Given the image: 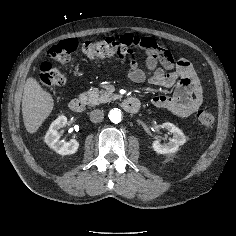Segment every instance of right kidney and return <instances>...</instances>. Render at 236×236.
Returning a JSON list of instances; mask_svg holds the SVG:
<instances>
[{
    "mask_svg": "<svg viewBox=\"0 0 236 236\" xmlns=\"http://www.w3.org/2000/svg\"><path fill=\"white\" fill-rule=\"evenodd\" d=\"M67 124V118L63 115L59 116L49 127L44 141L54 151L60 155H70L77 152L79 143L75 139L70 141L60 140L58 130Z\"/></svg>",
    "mask_w": 236,
    "mask_h": 236,
    "instance_id": "ca27d5eb",
    "label": "right kidney"
}]
</instances>
